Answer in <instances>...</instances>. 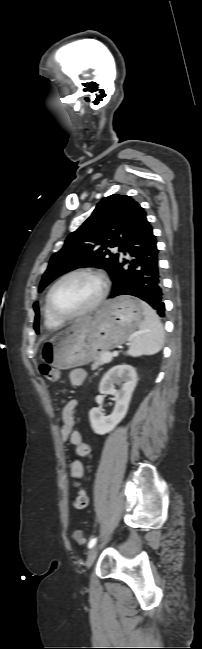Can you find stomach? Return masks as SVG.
Here are the masks:
<instances>
[{"label":"stomach","instance_id":"obj_1","mask_svg":"<svg viewBox=\"0 0 202 649\" xmlns=\"http://www.w3.org/2000/svg\"><path fill=\"white\" fill-rule=\"evenodd\" d=\"M143 315L142 302L136 298L123 296L107 301L94 316L84 317L46 340L40 358L60 370L85 365L100 351L124 343L140 326Z\"/></svg>","mask_w":202,"mask_h":649}]
</instances>
